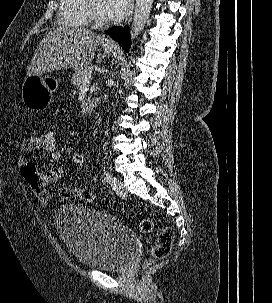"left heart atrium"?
I'll use <instances>...</instances> for the list:
<instances>
[{
  "label": "left heart atrium",
  "instance_id": "obj_1",
  "mask_svg": "<svg viewBox=\"0 0 272 303\" xmlns=\"http://www.w3.org/2000/svg\"><path fill=\"white\" fill-rule=\"evenodd\" d=\"M130 9V0H104L103 13L105 19L119 21Z\"/></svg>",
  "mask_w": 272,
  "mask_h": 303
}]
</instances>
